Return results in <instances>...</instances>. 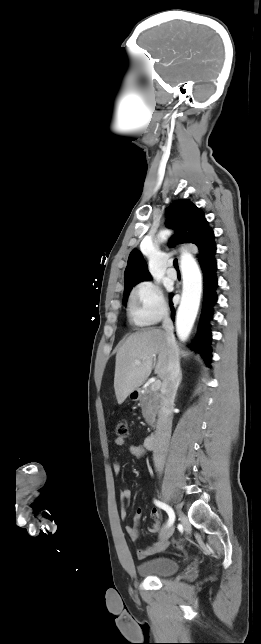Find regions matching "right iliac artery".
<instances>
[{
  "label": "right iliac artery",
  "instance_id": "right-iliac-artery-1",
  "mask_svg": "<svg viewBox=\"0 0 261 644\" xmlns=\"http://www.w3.org/2000/svg\"><path fill=\"white\" fill-rule=\"evenodd\" d=\"M154 503H155L156 506H158L159 508H162L163 510H165L167 512V514L169 516L167 526H171L174 523V520H175V513H174L173 509L170 506H168L167 504H165V503H163V502H161L159 500H154Z\"/></svg>",
  "mask_w": 261,
  "mask_h": 644
}]
</instances>
